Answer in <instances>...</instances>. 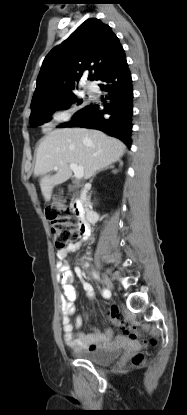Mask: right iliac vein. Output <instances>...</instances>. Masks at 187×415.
I'll return each instance as SVG.
<instances>
[{
    "instance_id": "obj_1",
    "label": "right iliac vein",
    "mask_w": 187,
    "mask_h": 415,
    "mask_svg": "<svg viewBox=\"0 0 187 415\" xmlns=\"http://www.w3.org/2000/svg\"><path fill=\"white\" fill-rule=\"evenodd\" d=\"M103 282H104L105 286L107 287V289L113 290L114 285H113L112 281L110 280V278L107 275H103Z\"/></svg>"
}]
</instances>
